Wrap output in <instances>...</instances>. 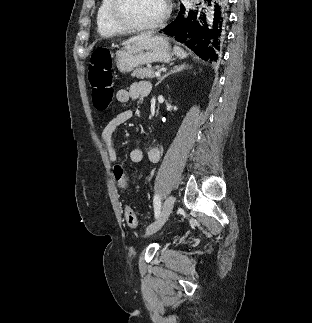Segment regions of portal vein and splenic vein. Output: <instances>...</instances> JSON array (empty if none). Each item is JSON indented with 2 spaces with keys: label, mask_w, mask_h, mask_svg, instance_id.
I'll return each mask as SVG.
<instances>
[{
  "label": "portal vein and splenic vein",
  "mask_w": 312,
  "mask_h": 323,
  "mask_svg": "<svg viewBox=\"0 0 312 323\" xmlns=\"http://www.w3.org/2000/svg\"><path fill=\"white\" fill-rule=\"evenodd\" d=\"M155 76H158L159 78V76H161V72H155Z\"/></svg>",
  "instance_id": "portal-vein-and-splenic-vein-1"
}]
</instances>
